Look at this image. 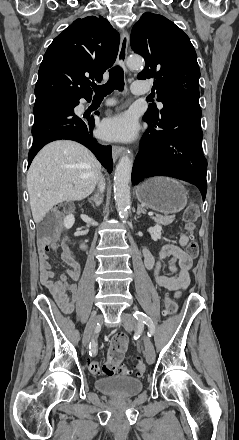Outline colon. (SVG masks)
<instances>
[{"mask_svg":"<svg viewBox=\"0 0 239 440\" xmlns=\"http://www.w3.org/2000/svg\"><path fill=\"white\" fill-rule=\"evenodd\" d=\"M70 208L71 207L69 205L61 204L56 206L54 208V211L56 213H60L63 211H67ZM198 213V206L195 204H191L190 206H188L184 213L185 230L190 235H193L196 231V220L198 218ZM59 227L60 223L56 216L47 219L40 231L39 245L42 247L50 245L57 235ZM198 251V244L195 241H191L187 246L188 255L192 258H195L198 255ZM176 311V304L171 299L166 297L164 300L163 313L165 315H172L176 313ZM128 345L129 341L126 335L121 333L114 335L110 342L106 361L103 364H100L96 360H90L88 362L89 371L92 374L102 373L106 375H113L115 373H130V370L122 364L124 353L126 352ZM145 369V363L143 361H139L136 365L137 374L142 375L145 372Z\"/></svg>","mask_w":239,"mask_h":440,"instance_id":"colon-1","label":"colon"}]
</instances>
